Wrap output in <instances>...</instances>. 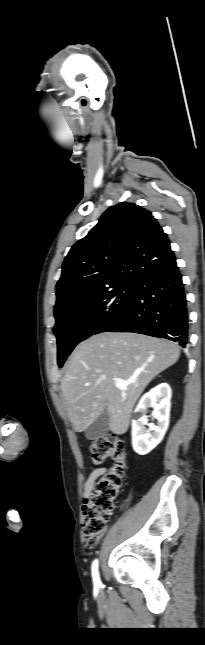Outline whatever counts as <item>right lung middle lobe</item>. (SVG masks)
<instances>
[{
    "label": "right lung middle lobe",
    "instance_id": "1",
    "mask_svg": "<svg viewBox=\"0 0 205 645\" xmlns=\"http://www.w3.org/2000/svg\"><path fill=\"white\" fill-rule=\"evenodd\" d=\"M133 298L134 284L120 285L82 297L56 313L53 332L57 337L59 367L79 342L110 326Z\"/></svg>",
    "mask_w": 205,
    "mask_h": 645
}]
</instances>
